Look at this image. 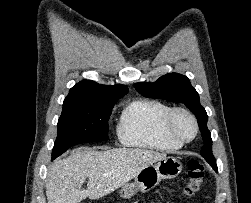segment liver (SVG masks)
Wrapping results in <instances>:
<instances>
[{"instance_id": "6515ba94", "label": "liver", "mask_w": 251, "mask_h": 203, "mask_svg": "<svg viewBox=\"0 0 251 203\" xmlns=\"http://www.w3.org/2000/svg\"><path fill=\"white\" fill-rule=\"evenodd\" d=\"M165 157V153L140 148L76 149L50 166L46 183L48 203L102 198L135 178L144 167ZM86 178L87 188L82 189Z\"/></svg>"}]
</instances>
